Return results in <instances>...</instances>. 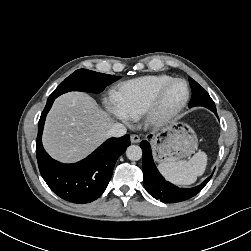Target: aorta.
<instances>
[{
	"label": "aorta",
	"mask_w": 251,
	"mask_h": 251,
	"mask_svg": "<svg viewBox=\"0 0 251 251\" xmlns=\"http://www.w3.org/2000/svg\"><path fill=\"white\" fill-rule=\"evenodd\" d=\"M126 156L129 160L138 161L142 158V149L138 145H130L126 150Z\"/></svg>",
	"instance_id": "1"
}]
</instances>
